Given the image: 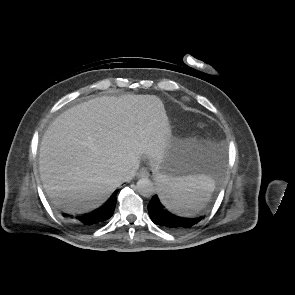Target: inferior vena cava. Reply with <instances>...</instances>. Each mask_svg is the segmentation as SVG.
I'll list each match as a JSON object with an SVG mask.
<instances>
[{"instance_id": "1", "label": "inferior vena cava", "mask_w": 295, "mask_h": 295, "mask_svg": "<svg viewBox=\"0 0 295 295\" xmlns=\"http://www.w3.org/2000/svg\"><path fill=\"white\" fill-rule=\"evenodd\" d=\"M136 172V168H132L124 177H123V181H128L131 180Z\"/></svg>"}]
</instances>
